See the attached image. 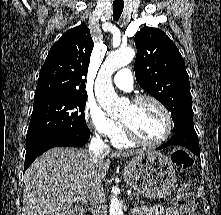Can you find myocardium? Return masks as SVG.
<instances>
[{"label":"myocardium","mask_w":221,"mask_h":215,"mask_svg":"<svg viewBox=\"0 0 221 215\" xmlns=\"http://www.w3.org/2000/svg\"><path fill=\"white\" fill-rule=\"evenodd\" d=\"M144 101H150V102L154 103L161 110V112L165 118V131H164L163 135L155 141H146V140L140 138L130 128V126L126 122H124L123 120H121V125L123 128V132H124L125 137L130 142L135 143L140 146H144V147H156V146L163 144L164 142H166L168 140V138L172 132V129H173V119H172L170 111L165 106V104L162 101H160L158 98H156L152 95H139L131 101V104H138V103H141Z\"/></svg>","instance_id":"obj_1"}]
</instances>
